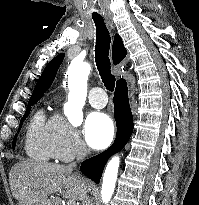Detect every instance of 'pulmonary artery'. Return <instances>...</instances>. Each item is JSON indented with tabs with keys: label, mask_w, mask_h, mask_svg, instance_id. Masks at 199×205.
Returning a JSON list of instances; mask_svg holds the SVG:
<instances>
[{
	"label": "pulmonary artery",
	"mask_w": 199,
	"mask_h": 205,
	"mask_svg": "<svg viewBox=\"0 0 199 205\" xmlns=\"http://www.w3.org/2000/svg\"><path fill=\"white\" fill-rule=\"evenodd\" d=\"M89 102L94 108H103L107 103V97L104 90L100 87H95L90 91Z\"/></svg>",
	"instance_id": "pulmonary-artery-1"
}]
</instances>
